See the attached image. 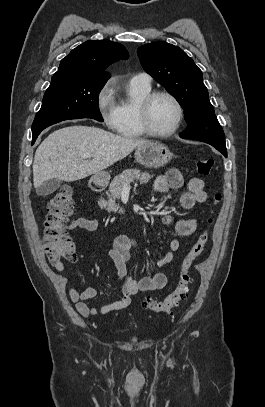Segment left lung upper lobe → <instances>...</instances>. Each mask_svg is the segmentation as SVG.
Instances as JSON below:
<instances>
[{"mask_svg": "<svg viewBox=\"0 0 265 407\" xmlns=\"http://www.w3.org/2000/svg\"><path fill=\"white\" fill-rule=\"evenodd\" d=\"M144 70L176 98L188 126L181 138L206 142L225 152V136L209 101L201 70L179 47L154 42L138 48Z\"/></svg>", "mask_w": 265, "mask_h": 407, "instance_id": "left-lung-upper-lobe-1", "label": "left lung upper lobe"}]
</instances>
